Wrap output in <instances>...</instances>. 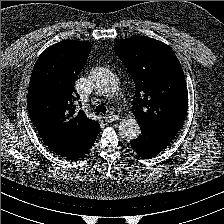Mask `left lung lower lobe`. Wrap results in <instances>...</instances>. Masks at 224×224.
<instances>
[{"label": "left lung lower lobe", "instance_id": "obj_1", "mask_svg": "<svg viewBox=\"0 0 224 224\" xmlns=\"http://www.w3.org/2000/svg\"><path fill=\"white\" fill-rule=\"evenodd\" d=\"M172 139L166 138L154 131L141 128V134L133 141L131 147L143 158L153 157L161 152Z\"/></svg>", "mask_w": 224, "mask_h": 224}]
</instances>
